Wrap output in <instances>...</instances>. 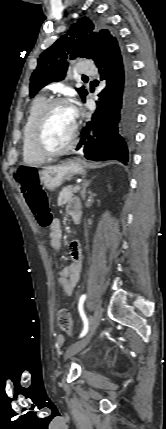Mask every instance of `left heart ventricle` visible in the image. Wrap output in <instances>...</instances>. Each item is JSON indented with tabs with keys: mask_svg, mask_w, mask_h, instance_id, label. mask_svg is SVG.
<instances>
[{
	"mask_svg": "<svg viewBox=\"0 0 166 429\" xmlns=\"http://www.w3.org/2000/svg\"><path fill=\"white\" fill-rule=\"evenodd\" d=\"M74 123L72 109L64 104L54 106L46 115L40 142L47 150H58L69 142Z\"/></svg>",
	"mask_w": 166,
	"mask_h": 429,
	"instance_id": "1",
	"label": "left heart ventricle"
}]
</instances>
